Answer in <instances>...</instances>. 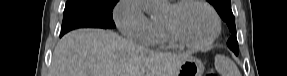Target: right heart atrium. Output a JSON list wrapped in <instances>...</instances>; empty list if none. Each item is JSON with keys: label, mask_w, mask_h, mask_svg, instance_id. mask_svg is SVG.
<instances>
[{"label": "right heart atrium", "mask_w": 287, "mask_h": 76, "mask_svg": "<svg viewBox=\"0 0 287 76\" xmlns=\"http://www.w3.org/2000/svg\"><path fill=\"white\" fill-rule=\"evenodd\" d=\"M113 17L119 31L127 38L145 43L150 33V23L140 0H120Z\"/></svg>", "instance_id": "right-heart-atrium-1"}]
</instances>
